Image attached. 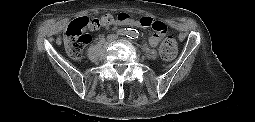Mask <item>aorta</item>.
Listing matches in <instances>:
<instances>
[{
  "instance_id": "1",
  "label": "aorta",
  "mask_w": 255,
  "mask_h": 122,
  "mask_svg": "<svg viewBox=\"0 0 255 122\" xmlns=\"http://www.w3.org/2000/svg\"><path fill=\"white\" fill-rule=\"evenodd\" d=\"M129 36H130V37H133V38H136V37L138 36V32H137L136 30L130 31V32H129Z\"/></svg>"
}]
</instances>
